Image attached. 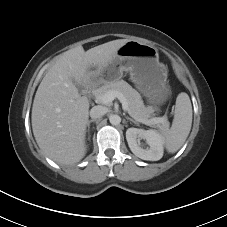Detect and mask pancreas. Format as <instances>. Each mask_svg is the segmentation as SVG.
Returning <instances> with one entry per match:
<instances>
[{"label":"pancreas","mask_w":227,"mask_h":227,"mask_svg":"<svg viewBox=\"0 0 227 227\" xmlns=\"http://www.w3.org/2000/svg\"><path fill=\"white\" fill-rule=\"evenodd\" d=\"M109 91H115L121 93L127 103H128V113L136 119H141L144 121H149L153 118H150L155 111V108L152 106L146 107L141 99L140 94L133 89L126 81L119 80L115 82L105 83L100 88H97L93 91V94L96 98ZM151 126L158 127L161 131H166L169 127V122L167 118L164 117L162 123H151L147 124Z\"/></svg>","instance_id":"1"}]
</instances>
